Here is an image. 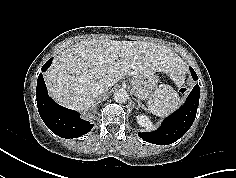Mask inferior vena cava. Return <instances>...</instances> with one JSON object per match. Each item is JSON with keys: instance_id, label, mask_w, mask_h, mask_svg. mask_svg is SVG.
Here are the masks:
<instances>
[{"instance_id": "obj_1", "label": "inferior vena cava", "mask_w": 236, "mask_h": 178, "mask_svg": "<svg viewBox=\"0 0 236 178\" xmlns=\"http://www.w3.org/2000/svg\"><path fill=\"white\" fill-rule=\"evenodd\" d=\"M108 88H109V84L107 83H104V82L97 83L96 94L97 95L103 94L108 90Z\"/></svg>"}]
</instances>
